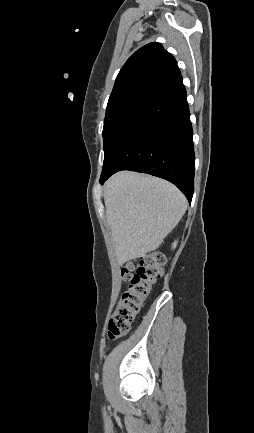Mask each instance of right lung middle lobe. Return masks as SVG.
Instances as JSON below:
<instances>
[{
  "instance_id": "1",
  "label": "right lung middle lobe",
  "mask_w": 254,
  "mask_h": 433,
  "mask_svg": "<svg viewBox=\"0 0 254 433\" xmlns=\"http://www.w3.org/2000/svg\"><path fill=\"white\" fill-rule=\"evenodd\" d=\"M146 101L131 100L121 102L106 109V116L104 120L103 139H104V165L115 146V143L132 115L145 103Z\"/></svg>"
}]
</instances>
